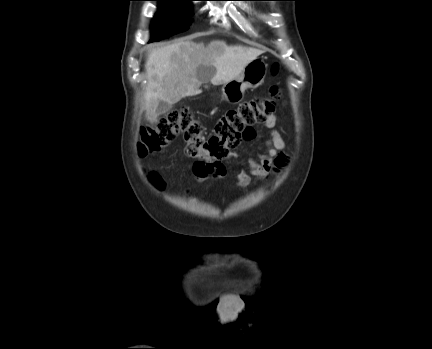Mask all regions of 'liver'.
<instances>
[{"mask_svg":"<svg viewBox=\"0 0 432 349\" xmlns=\"http://www.w3.org/2000/svg\"><path fill=\"white\" fill-rule=\"evenodd\" d=\"M260 54L259 49L227 45L223 40H213L206 46L187 40L151 50L145 65L147 120L156 122L159 101L175 104L182 98L200 94L205 81L201 67L214 69L213 85L224 84L239 76Z\"/></svg>","mask_w":432,"mask_h":349,"instance_id":"6515ba94","label":"liver"}]
</instances>
